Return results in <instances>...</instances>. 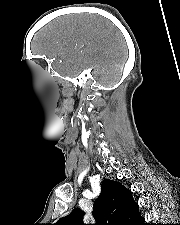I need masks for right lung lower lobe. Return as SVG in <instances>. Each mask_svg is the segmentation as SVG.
Returning a JSON list of instances; mask_svg holds the SVG:
<instances>
[{
    "label": "right lung lower lobe",
    "mask_w": 180,
    "mask_h": 225,
    "mask_svg": "<svg viewBox=\"0 0 180 225\" xmlns=\"http://www.w3.org/2000/svg\"><path fill=\"white\" fill-rule=\"evenodd\" d=\"M145 219L142 217L139 221V223H137V225H147L144 223Z\"/></svg>",
    "instance_id": "obj_1"
}]
</instances>
